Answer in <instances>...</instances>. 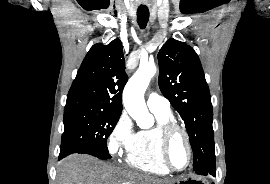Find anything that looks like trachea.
<instances>
[{"mask_svg":"<svg viewBox=\"0 0 270 184\" xmlns=\"http://www.w3.org/2000/svg\"><path fill=\"white\" fill-rule=\"evenodd\" d=\"M149 20V10L148 9H138L137 10V22L140 28L144 29Z\"/></svg>","mask_w":270,"mask_h":184,"instance_id":"obj_1","label":"trachea"}]
</instances>
